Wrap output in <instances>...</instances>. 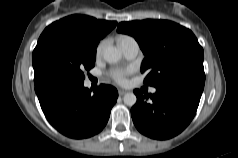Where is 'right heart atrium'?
<instances>
[{
    "instance_id": "obj_1",
    "label": "right heart atrium",
    "mask_w": 238,
    "mask_h": 158,
    "mask_svg": "<svg viewBox=\"0 0 238 158\" xmlns=\"http://www.w3.org/2000/svg\"><path fill=\"white\" fill-rule=\"evenodd\" d=\"M104 45H105V41H101L97 48H96V55L99 56L101 55L102 51H103V48H104Z\"/></svg>"
}]
</instances>
